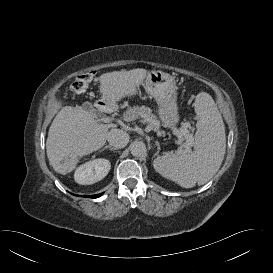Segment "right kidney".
Returning <instances> with one entry per match:
<instances>
[{
    "mask_svg": "<svg viewBox=\"0 0 273 273\" xmlns=\"http://www.w3.org/2000/svg\"><path fill=\"white\" fill-rule=\"evenodd\" d=\"M111 164L106 159H95L80 165L74 179L78 184L90 185L102 180L110 171Z\"/></svg>",
    "mask_w": 273,
    "mask_h": 273,
    "instance_id": "ca27d5eb",
    "label": "right kidney"
}]
</instances>
